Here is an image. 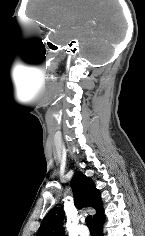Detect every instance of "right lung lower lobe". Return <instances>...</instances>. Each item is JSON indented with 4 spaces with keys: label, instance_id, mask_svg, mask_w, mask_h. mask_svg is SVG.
<instances>
[{
    "label": "right lung lower lobe",
    "instance_id": "right-lung-lower-lobe-1",
    "mask_svg": "<svg viewBox=\"0 0 145 236\" xmlns=\"http://www.w3.org/2000/svg\"><path fill=\"white\" fill-rule=\"evenodd\" d=\"M105 221V215L99 218L97 221H95L96 227H97V236H103L102 232V226Z\"/></svg>",
    "mask_w": 145,
    "mask_h": 236
}]
</instances>
